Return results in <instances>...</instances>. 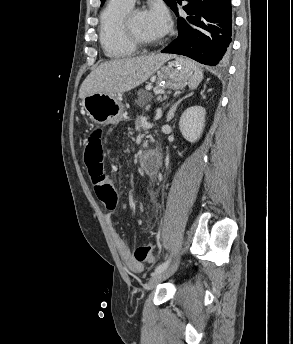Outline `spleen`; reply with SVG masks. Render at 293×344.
Wrapping results in <instances>:
<instances>
[{"mask_svg": "<svg viewBox=\"0 0 293 344\" xmlns=\"http://www.w3.org/2000/svg\"><path fill=\"white\" fill-rule=\"evenodd\" d=\"M185 60V59H184ZM190 66L191 68L194 70V74L192 75V77L189 80V87L191 89H195L197 88V86L199 85V83L202 81L203 79V72L201 69H199L192 61L190 60H185Z\"/></svg>", "mask_w": 293, "mask_h": 344, "instance_id": "obj_1", "label": "spleen"}]
</instances>
